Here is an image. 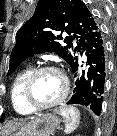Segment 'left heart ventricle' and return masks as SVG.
<instances>
[{
	"mask_svg": "<svg viewBox=\"0 0 117 136\" xmlns=\"http://www.w3.org/2000/svg\"><path fill=\"white\" fill-rule=\"evenodd\" d=\"M64 84L60 76L54 72H43L35 79L32 97L39 105L56 100L62 93Z\"/></svg>",
	"mask_w": 117,
	"mask_h": 136,
	"instance_id": "b2bd125f",
	"label": "left heart ventricle"
}]
</instances>
